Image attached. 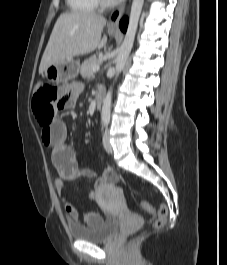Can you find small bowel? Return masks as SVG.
<instances>
[{
    "instance_id": "c3829d8e",
    "label": "small bowel",
    "mask_w": 227,
    "mask_h": 265,
    "mask_svg": "<svg viewBox=\"0 0 227 265\" xmlns=\"http://www.w3.org/2000/svg\"><path fill=\"white\" fill-rule=\"evenodd\" d=\"M61 91L65 99H59L57 107L59 112H68L73 108L84 86L82 83L73 81H64ZM41 139L44 145L51 148L52 163L58 171L59 178L55 181L56 190L62 199L65 211L73 222L80 219L79 210L70 203L64 192L65 182L74 181L79 178L93 179L92 190L88 194L90 200H96L100 189L107 184H113L117 180L115 171L111 168L105 169L101 175L90 168H80L78 166L73 149L66 143L67 128L63 121L53 120L46 128H42ZM102 217L95 212L84 214V221L87 225H96L102 221Z\"/></svg>"
}]
</instances>
